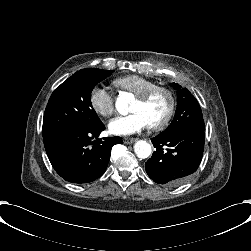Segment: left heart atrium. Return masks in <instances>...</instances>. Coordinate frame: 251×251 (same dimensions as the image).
<instances>
[{
	"label": "left heart atrium",
	"mask_w": 251,
	"mask_h": 251,
	"mask_svg": "<svg viewBox=\"0 0 251 251\" xmlns=\"http://www.w3.org/2000/svg\"><path fill=\"white\" fill-rule=\"evenodd\" d=\"M150 125L146 114L135 110L126 115H118L108 124L109 131L115 135H130L137 133Z\"/></svg>",
	"instance_id": "obj_1"
}]
</instances>
